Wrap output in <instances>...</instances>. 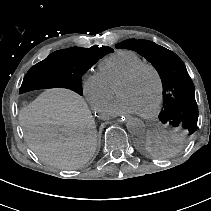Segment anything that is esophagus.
Instances as JSON below:
<instances>
[{"label": "esophagus", "mask_w": 211, "mask_h": 211, "mask_svg": "<svg viewBox=\"0 0 211 211\" xmlns=\"http://www.w3.org/2000/svg\"><path fill=\"white\" fill-rule=\"evenodd\" d=\"M126 118H127V115H126L125 113H122V114H120V115H115V116L113 117V120H114L115 122H121V121L125 120Z\"/></svg>", "instance_id": "1"}]
</instances>
